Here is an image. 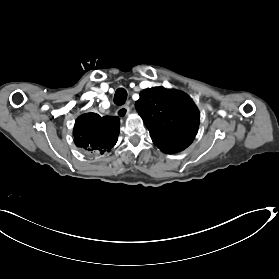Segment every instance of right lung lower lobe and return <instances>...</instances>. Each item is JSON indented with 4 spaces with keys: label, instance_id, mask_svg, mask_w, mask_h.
Returning <instances> with one entry per match:
<instances>
[{
    "label": "right lung lower lobe",
    "instance_id": "98d812e1",
    "mask_svg": "<svg viewBox=\"0 0 279 279\" xmlns=\"http://www.w3.org/2000/svg\"><path fill=\"white\" fill-rule=\"evenodd\" d=\"M120 131L117 117H100L95 113L83 114L77 118L73 135L77 147L91 154L109 152L116 144Z\"/></svg>",
    "mask_w": 279,
    "mask_h": 279
}]
</instances>
